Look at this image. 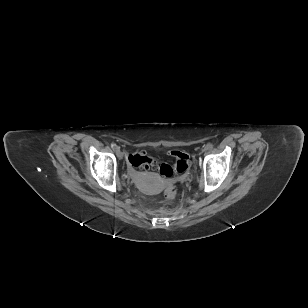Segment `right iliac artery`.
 I'll use <instances>...</instances> for the list:
<instances>
[{"label": "right iliac artery", "mask_w": 308, "mask_h": 308, "mask_svg": "<svg viewBox=\"0 0 308 308\" xmlns=\"http://www.w3.org/2000/svg\"><path fill=\"white\" fill-rule=\"evenodd\" d=\"M111 147L115 150L117 148L116 144H112Z\"/></svg>", "instance_id": "obj_1"}]
</instances>
